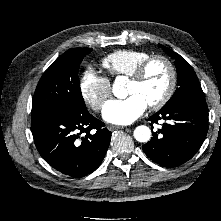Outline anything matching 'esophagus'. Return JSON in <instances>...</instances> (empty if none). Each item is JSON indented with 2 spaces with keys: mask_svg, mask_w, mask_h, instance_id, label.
Returning <instances> with one entry per match:
<instances>
[{
  "mask_svg": "<svg viewBox=\"0 0 221 221\" xmlns=\"http://www.w3.org/2000/svg\"><path fill=\"white\" fill-rule=\"evenodd\" d=\"M125 127H123V126H115V125H110L109 127H108V129L110 130V131H114V130H118V129H124Z\"/></svg>",
  "mask_w": 221,
  "mask_h": 221,
  "instance_id": "34e87169",
  "label": "esophagus"
}]
</instances>
